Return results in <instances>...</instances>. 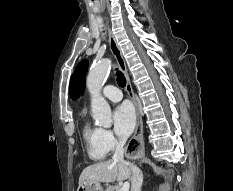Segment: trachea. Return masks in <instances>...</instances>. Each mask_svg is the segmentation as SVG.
<instances>
[{
	"instance_id": "obj_1",
	"label": "trachea",
	"mask_w": 233,
	"mask_h": 191,
	"mask_svg": "<svg viewBox=\"0 0 233 191\" xmlns=\"http://www.w3.org/2000/svg\"><path fill=\"white\" fill-rule=\"evenodd\" d=\"M117 83L120 87H125L126 85V78L121 71H117Z\"/></svg>"
}]
</instances>
